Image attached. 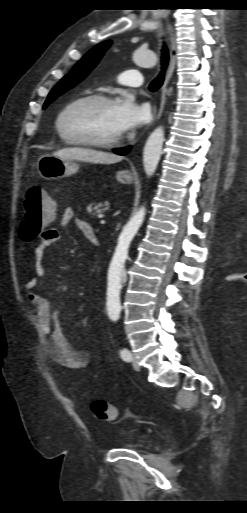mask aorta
<instances>
[{
    "label": "aorta",
    "mask_w": 247,
    "mask_h": 513,
    "mask_svg": "<svg viewBox=\"0 0 247 513\" xmlns=\"http://www.w3.org/2000/svg\"><path fill=\"white\" fill-rule=\"evenodd\" d=\"M133 61L141 67H153L157 56L153 51H135ZM164 129L158 126L147 138L143 149V166L148 177L155 173L162 153ZM146 209L142 206L122 230L108 272V310L112 319L117 320L121 312L120 290L128 249L134 236L143 223Z\"/></svg>",
    "instance_id": "obj_1"
}]
</instances>
